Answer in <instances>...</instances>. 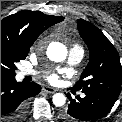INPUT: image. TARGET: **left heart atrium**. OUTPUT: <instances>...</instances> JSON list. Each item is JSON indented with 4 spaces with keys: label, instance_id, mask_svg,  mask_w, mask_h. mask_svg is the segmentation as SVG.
<instances>
[{
    "label": "left heart atrium",
    "instance_id": "obj_1",
    "mask_svg": "<svg viewBox=\"0 0 122 122\" xmlns=\"http://www.w3.org/2000/svg\"><path fill=\"white\" fill-rule=\"evenodd\" d=\"M47 80L52 83V84H57L58 81H59V76L55 73H50L48 76H47Z\"/></svg>",
    "mask_w": 122,
    "mask_h": 122
}]
</instances>
